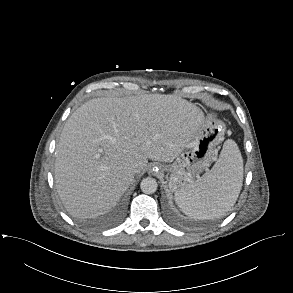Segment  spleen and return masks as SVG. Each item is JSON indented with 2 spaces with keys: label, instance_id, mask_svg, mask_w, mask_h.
Instances as JSON below:
<instances>
[{
  "label": "spleen",
  "instance_id": "3e777b00",
  "mask_svg": "<svg viewBox=\"0 0 293 293\" xmlns=\"http://www.w3.org/2000/svg\"><path fill=\"white\" fill-rule=\"evenodd\" d=\"M243 182V159L237 144L226 140L213 168L175 193L179 208L195 219L223 216L235 204Z\"/></svg>",
  "mask_w": 293,
  "mask_h": 293
}]
</instances>
